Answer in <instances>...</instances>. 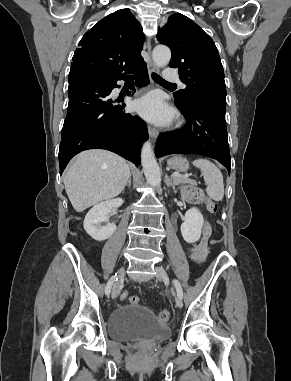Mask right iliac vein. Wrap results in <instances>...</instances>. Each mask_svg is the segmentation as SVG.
Segmentation results:
<instances>
[{
	"label": "right iliac vein",
	"mask_w": 291,
	"mask_h": 381,
	"mask_svg": "<svg viewBox=\"0 0 291 381\" xmlns=\"http://www.w3.org/2000/svg\"><path fill=\"white\" fill-rule=\"evenodd\" d=\"M117 276H118L119 281H121L124 278V276H125V269L124 268H120L118 270ZM119 291H120V286H119V282H117L113 286L112 297H116L118 295Z\"/></svg>",
	"instance_id": "1"
}]
</instances>
